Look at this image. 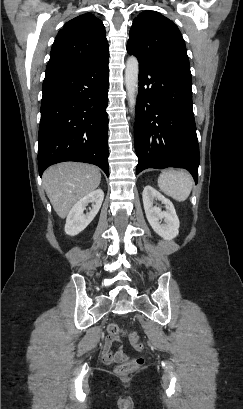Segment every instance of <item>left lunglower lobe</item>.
I'll return each instance as SVG.
<instances>
[{"label":"left lung lower lobe","mask_w":243,"mask_h":409,"mask_svg":"<svg viewBox=\"0 0 243 409\" xmlns=\"http://www.w3.org/2000/svg\"><path fill=\"white\" fill-rule=\"evenodd\" d=\"M134 144L136 174L147 168L187 169L197 183L199 145L189 61L171 58L139 67Z\"/></svg>","instance_id":"1"}]
</instances>
